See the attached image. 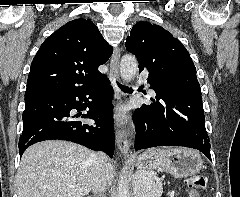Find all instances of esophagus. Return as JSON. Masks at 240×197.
<instances>
[{
	"mask_svg": "<svg viewBox=\"0 0 240 197\" xmlns=\"http://www.w3.org/2000/svg\"><path fill=\"white\" fill-rule=\"evenodd\" d=\"M120 47H116L111 57L110 61V73L109 78L111 84L114 88V98L117 103V107L121 105V92L117 86V81H119V61H120ZM116 142L121 153L128 157L129 159H134L135 157L130 154L129 141L127 139V133L124 129L116 126Z\"/></svg>",
	"mask_w": 240,
	"mask_h": 197,
	"instance_id": "1",
	"label": "esophagus"
}]
</instances>
